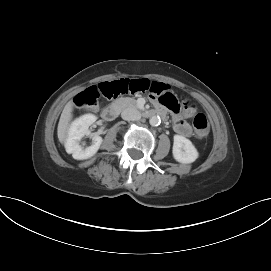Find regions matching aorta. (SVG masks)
<instances>
[{
    "instance_id": "aorta-1",
    "label": "aorta",
    "mask_w": 271,
    "mask_h": 271,
    "mask_svg": "<svg viewBox=\"0 0 271 271\" xmlns=\"http://www.w3.org/2000/svg\"><path fill=\"white\" fill-rule=\"evenodd\" d=\"M149 123L151 126H158L161 123L160 117L156 115L150 117Z\"/></svg>"
}]
</instances>
